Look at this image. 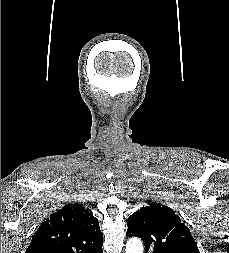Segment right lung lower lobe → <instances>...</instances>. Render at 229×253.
I'll list each match as a JSON object with an SVG mask.
<instances>
[{
  "mask_svg": "<svg viewBox=\"0 0 229 253\" xmlns=\"http://www.w3.org/2000/svg\"><path fill=\"white\" fill-rule=\"evenodd\" d=\"M99 253H103V251L101 250Z\"/></svg>",
  "mask_w": 229,
  "mask_h": 253,
  "instance_id": "98d812e1",
  "label": "right lung lower lobe"
}]
</instances>
